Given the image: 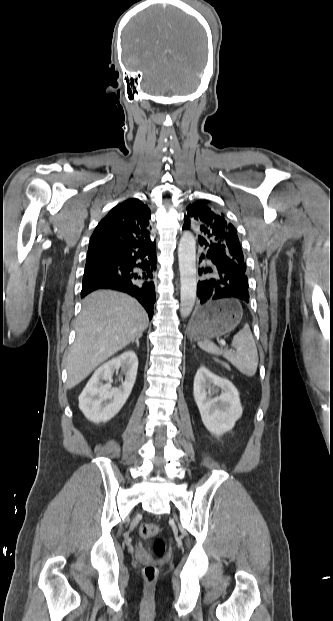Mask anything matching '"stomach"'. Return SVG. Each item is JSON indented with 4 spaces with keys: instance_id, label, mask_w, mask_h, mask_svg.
Returning a JSON list of instances; mask_svg holds the SVG:
<instances>
[{
    "instance_id": "0dacf381",
    "label": "stomach",
    "mask_w": 333,
    "mask_h": 621,
    "mask_svg": "<svg viewBox=\"0 0 333 621\" xmlns=\"http://www.w3.org/2000/svg\"><path fill=\"white\" fill-rule=\"evenodd\" d=\"M242 309L236 300H220L196 312L189 328L191 338H212L233 330L241 321Z\"/></svg>"
}]
</instances>
